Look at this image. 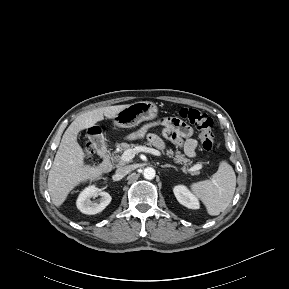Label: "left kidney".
Returning <instances> with one entry per match:
<instances>
[{"mask_svg": "<svg viewBox=\"0 0 289 289\" xmlns=\"http://www.w3.org/2000/svg\"><path fill=\"white\" fill-rule=\"evenodd\" d=\"M174 195L178 202L189 209H198V199L183 185L175 186Z\"/></svg>", "mask_w": 289, "mask_h": 289, "instance_id": "1", "label": "left kidney"}]
</instances>
